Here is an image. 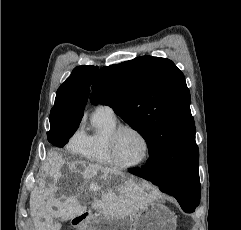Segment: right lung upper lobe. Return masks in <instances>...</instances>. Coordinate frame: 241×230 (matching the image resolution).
Wrapping results in <instances>:
<instances>
[{"mask_svg": "<svg viewBox=\"0 0 241 230\" xmlns=\"http://www.w3.org/2000/svg\"><path fill=\"white\" fill-rule=\"evenodd\" d=\"M98 70L97 66L83 65L74 68L72 74L58 88L50 122H81L84 107L90 93V85Z\"/></svg>", "mask_w": 241, "mask_h": 230, "instance_id": "obj_1", "label": "right lung upper lobe"}]
</instances>
